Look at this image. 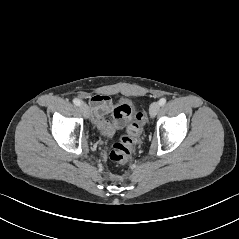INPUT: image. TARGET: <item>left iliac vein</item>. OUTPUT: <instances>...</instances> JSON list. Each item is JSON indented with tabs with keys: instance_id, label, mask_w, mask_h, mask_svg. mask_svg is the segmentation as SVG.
<instances>
[{
	"instance_id": "4c4485c4",
	"label": "left iliac vein",
	"mask_w": 239,
	"mask_h": 239,
	"mask_svg": "<svg viewBox=\"0 0 239 239\" xmlns=\"http://www.w3.org/2000/svg\"><path fill=\"white\" fill-rule=\"evenodd\" d=\"M160 109V104L158 102H153L149 108V114L151 117H155Z\"/></svg>"
}]
</instances>
